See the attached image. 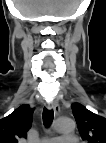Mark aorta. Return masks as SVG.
<instances>
[{
  "label": "aorta",
  "mask_w": 106,
  "mask_h": 143,
  "mask_svg": "<svg viewBox=\"0 0 106 143\" xmlns=\"http://www.w3.org/2000/svg\"><path fill=\"white\" fill-rule=\"evenodd\" d=\"M74 128L75 123L70 118H61L55 123V130L60 133H70Z\"/></svg>",
  "instance_id": "762f6f07"
}]
</instances>
